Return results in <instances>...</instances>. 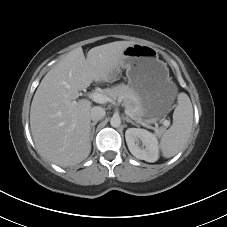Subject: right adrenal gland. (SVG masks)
I'll return each instance as SVG.
<instances>
[{"mask_svg": "<svg viewBox=\"0 0 227 227\" xmlns=\"http://www.w3.org/2000/svg\"><path fill=\"white\" fill-rule=\"evenodd\" d=\"M98 122L97 121H94L93 123H91L90 125V140L93 139V136H94V132H95V125L97 124Z\"/></svg>", "mask_w": 227, "mask_h": 227, "instance_id": "right-adrenal-gland-1", "label": "right adrenal gland"}]
</instances>
